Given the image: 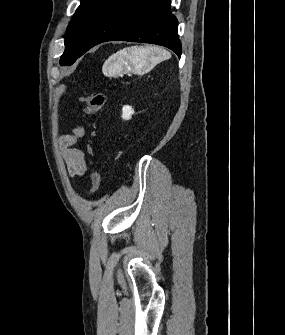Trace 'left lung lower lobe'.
I'll return each mask as SVG.
<instances>
[{"label":"left lung lower lobe","instance_id":"left-lung-lower-lobe-1","mask_svg":"<svg viewBox=\"0 0 285 335\" xmlns=\"http://www.w3.org/2000/svg\"><path fill=\"white\" fill-rule=\"evenodd\" d=\"M171 0H111L98 14L81 43L80 56L106 41L123 40L168 47L178 57L181 43Z\"/></svg>","mask_w":285,"mask_h":335}]
</instances>
